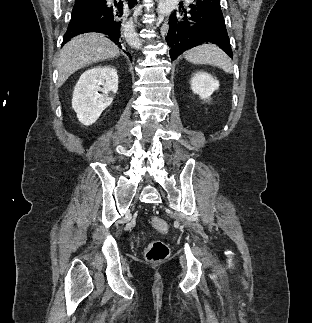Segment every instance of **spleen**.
Segmentation results:
<instances>
[{"label": "spleen", "instance_id": "1", "mask_svg": "<svg viewBox=\"0 0 312 323\" xmlns=\"http://www.w3.org/2000/svg\"><path fill=\"white\" fill-rule=\"evenodd\" d=\"M184 56L192 64H211V66H219L228 74L233 72L229 56L214 44L197 46V48H192V50L185 52Z\"/></svg>", "mask_w": 312, "mask_h": 323}]
</instances>
